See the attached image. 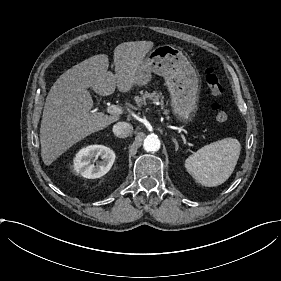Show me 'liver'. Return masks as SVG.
I'll use <instances>...</instances> for the list:
<instances>
[{"label": "liver", "mask_w": 281, "mask_h": 281, "mask_svg": "<svg viewBox=\"0 0 281 281\" xmlns=\"http://www.w3.org/2000/svg\"><path fill=\"white\" fill-rule=\"evenodd\" d=\"M151 46L150 41L118 45L113 56L115 73L107 69V56L98 54L59 76L46 97L40 125L41 157L46 165L81 138L118 120V116L92 111L87 87L102 96L113 94L116 87L130 90L135 84L136 66Z\"/></svg>", "instance_id": "1"}]
</instances>
